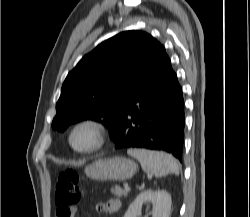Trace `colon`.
<instances>
[{
	"mask_svg": "<svg viewBox=\"0 0 250 217\" xmlns=\"http://www.w3.org/2000/svg\"><path fill=\"white\" fill-rule=\"evenodd\" d=\"M80 197V175L73 170L59 174L54 193L58 217H68L78 204Z\"/></svg>",
	"mask_w": 250,
	"mask_h": 217,
	"instance_id": "5ec220e1",
	"label": "colon"
}]
</instances>
